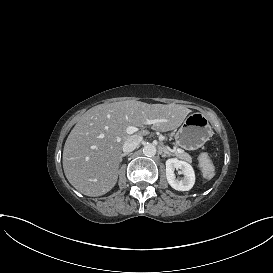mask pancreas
<instances>
[{
	"mask_svg": "<svg viewBox=\"0 0 273 273\" xmlns=\"http://www.w3.org/2000/svg\"><path fill=\"white\" fill-rule=\"evenodd\" d=\"M172 153H173L176 157H178V158L187 160V161H189V162L192 161L191 155H190L189 153H187L185 150H183L182 153H179L178 151H175V150H174Z\"/></svg>",
	"mask_w": 273,
	"mask_h": 273,
	"instance_id": "cf45deb5",
	"label": "pancreas"
}]
</instances>
